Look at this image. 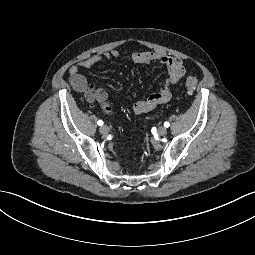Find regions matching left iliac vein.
<instances>
[{
    "instance_id": "1",
    "label": "left iliac vein",
    "mask_w": 255,
    "mask_h": 255,
    "mask_svg": "<svg viewBox=\"0 0 255 255\" xmlns=\"http://www.w3.org/2000/svg\"><path fill=\"white\" fill-rule=\"evenodd\" d=\"M158 133L160 135H165V134H167V129L165 127L161 126L158 128Z\"/></svg>"
}]
</instances>
